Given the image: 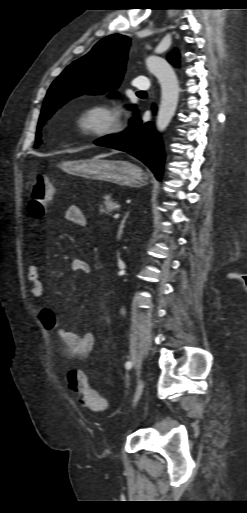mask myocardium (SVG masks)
Listing matches in <instances>:
<instances>
[{
  "mask_svg": "<svg viewBox=\"0 0 247 513\" xmlns=\"http://www.w3.org/2000/svg\"><path fill=\"white\" fill-rule=\"evenodd\" d=\"M71 124L80 135L102 138L116 133L120 122L112 106L94 102L78 107L71 116Z\"/></svg>",
  "mask_w": 247,
  "mask_h": 513,
  "instance_id": "obj_1",
  "label": "myocardium"
}]
</instances>
